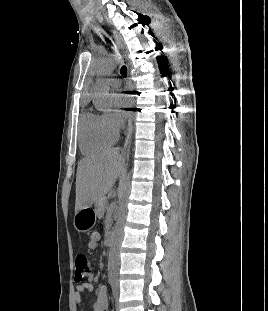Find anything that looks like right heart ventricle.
Returning <instances> with one entry per match:
<instances>
[{
	"label": "right heart ventricle",
	"mask_w": 268,
	"mask_h": 311,
	"mask_svg": "<svg viewBox=\"0 0 268 311\" xmlns=\"http://www.w3.org/2000/svg\"><path fill=\"white\" fill-rule=\"evenodd\" d=\"M118 132L107 123L105 115L85 111L79 121V146L84 154L91 155L112 146Z\"/></svg>",
	"instance_id": "1"
}]
</instances>
